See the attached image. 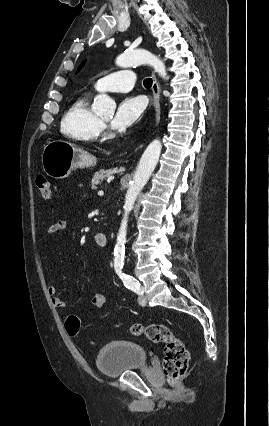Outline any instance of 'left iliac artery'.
Returning <instances> with one entry per match:
<instances>
[{"label":"left iliac artery","instance_id":"left-iliac-artery-1","mask_svg":"<svg viewBox=\"0 0 269 426\" xmlns=\"http://www.w3.org/2000/svg\"><path fill=\"white\" fill-rule=\"evenodd\" d=\"M122 267H116V273L119 275V277L122 279L124 285L134 291L135 293H137L138 295H143L144 290L143 288L140 286V284L137 282V280L129 275H126L124 273H122L121 271Z\"/></svg>","mask_w":269,"mask_h":426}]
</instances>
